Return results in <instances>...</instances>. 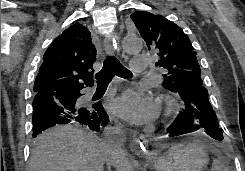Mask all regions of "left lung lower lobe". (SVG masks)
Wrapping results in <instances>:
<instances>
[{
    "label": "left lung lower lobe",
    "mask_w": 245,
    "mask_h": 171,
    "mask_svg": "<svg viewBox=\"0 0 245 171\" xmlns=\"http://www.w3.org/2000/svg\"><path fill=\"white\" fill-rule=\"evenodd\" d=\"M185 103V108L167 128L170 136H179L194 132L200 128L215 140H223V131L219 128L215 111L203 85L186 84L176 91Z\"/></svg>",
    "instance_id": "1"
}]
</instances>
